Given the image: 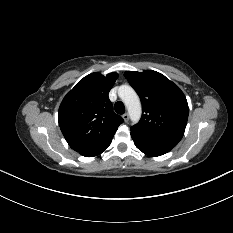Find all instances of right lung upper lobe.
I'll return each instance as SVG.
<instances>
[{"mask_svg": "<svg viewBox=\"0 0 233 233\" xmlns=\"http://www.w3.org/2000/svg\"><path fill=\"white\" fill-rule=\"evenodd\" d=\"M117 77L116 73H91L64 97L58 112L59 126L73 150L79 152L105 142L123 122L108 98Z\"/></svg>", "mask_w": 233, "mask_h": 233, "instance_id": "right-lung-upper-lobe-1", "label": "right lung upper lobe"}]
</instances>
